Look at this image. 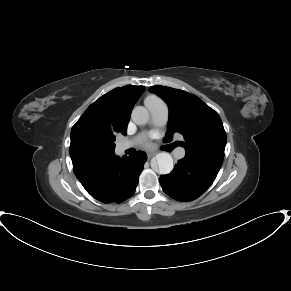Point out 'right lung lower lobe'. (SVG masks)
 I'll use <instances>...</instances> for the list:
<instances>
[{"label": "right lung lower lobe", "instance_id": "right-lung-lower-lobe-1", "mask_svg": "<svg viewBox=\"0 0 291 291\" xmlns=\"http://www.w3.org/2000/svg\"><path fill=\"white\" fill-rule=\"evenodd\" d=\"M147 155L136 154L121 159L115 155L73 164V171L85 190L103 203H121L130 198L137 187Z\"/></svg>", "mask_w": 291, "mask_h": 291}]
</instances>
